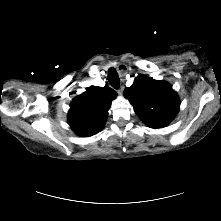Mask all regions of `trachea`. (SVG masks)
Segmentation results:
<instances>
[{
	"label": "trachea",
	"mask_w": 221,
	"mask_h": 221,
	"mask_svg": "<svg viewBox=\"0 0 221 221\" xmlns=\"http://www.w3.org/2000/svg\"><path fill=\"white\" fill-rule=\"evenodd\" d=\"M108 81L113 88L118 89L120 87V79L114 68H110L108 72Z\"/></svg>",
	"instance_id": "1"
}]
</instances>
